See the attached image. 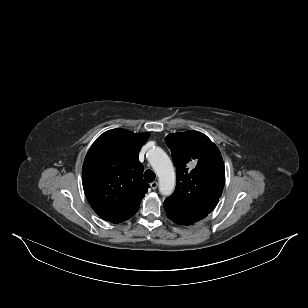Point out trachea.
I'll list each match as a JSON object with an SVG mask.
<instances>
[{
  "label": "trachea",
  "instance_id": "1",
  "mask_svg": "<svg viewBox=\"0 0 308 308\" xmlns=\"http://www.w3.org/2000/svg\"><path fill=\"white\" fill-rule=\"evenodd\" d=\"M156 178L155 173L152 170H146L144 173V179L147 182H153V180Z\"/></svg>",
  "mask_w": 308,
  "mask_h": 308
}]
</instances>
